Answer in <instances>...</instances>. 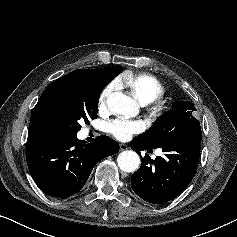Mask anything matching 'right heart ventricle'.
Wrapping results in <instances>:
<instances>
[{"label": "right heart ventricle", "instance_id": "e07e8e85", "mask_svg": "<svg viewBox=\"0 0 237 237\" xmlns=\"http://www.w3.org/2000/svg\"><path fill=\"white\" fill-rule=\"evenodd\" d=\"M120 87H126L142 104H148L164 93V86L155 76L147 73L124 74L116 80Z\"/></svg>", "mask_w": 237, "mask_h": 237}]
</instances>
